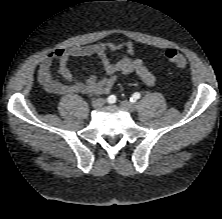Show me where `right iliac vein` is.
Wrapping results in <instances>:
<instances>
[{"mask_svg":"<svg viewBox=\"0 0 222 219\" xmlns=\"http://www.w3.org/2000/svg\"><path fill=\"white\" fill-rule=\"evenodd\" d=\"M104 103H105L104 99L98 98V99L93 100L92 106L95 107V108H99V107L103 106Z\"/></svg>","mask_w":222,"mask_h":219,"instance_id":"obj_1","label":"right iliac vein"}]
</instances>
